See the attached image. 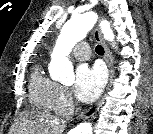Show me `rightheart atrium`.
Listing matches in <instances>:
<instances>
[{"label": "right heart atrium", "instance_id": "obj_1", "mask_svg": "<svg viewBox=\"0 0 153 134\" xmlns=\"http://www.w3.org/2000/svg\"><path fill=\"white\" fill-rule=\"evenodd\" d=\"M54 108L57 112L67 115L74 108V101L69 90L57 84L54 100Z\"/></svg>", "mask_w": 153, "mask_h": 134}]
</instances>
